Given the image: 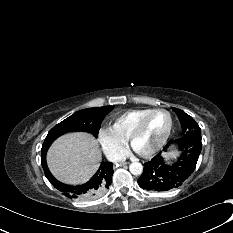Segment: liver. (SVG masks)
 <instances>
[{"mask_svg":"<svg viewBox=\"0 0 233 233\" xmlns=\"http://www.w3.org/2000/svg\"><path fill=\"white\" fill-rule=\"evenodd\" d=\"M101 161L97 140L89 133L75 132L57 139L47 153L52 174L70 185L87 182Z\"/></svg>","mask_w":233,"mask_h":233,"instance_id":"1","label":"liver"}]
</instances>
